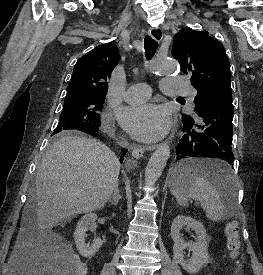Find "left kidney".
Wrapping results in <instances>:
<instances>
[{"label":"left kidney","mask_w":263,"mask_h":275,"mask_svg":"<svg viewBox=\"0 0 263 275\" xmlns=\"http://www.w3.org/2000/svg\"><path fill=\"white\" fill-rule=\"evenodd\" d=\"M183 226L195 231L196 242H186L182 238L180 230ZM171 237L174 241L173 261L179 263L185 271L196 274L205 264L209 263L208 236L201 222L189 216L179 215L173 220L171 225ZM184 249L192 251V256L188 260L184 259Z\"/></svg>","instance_id":"5707ae66"}]
</instances>
